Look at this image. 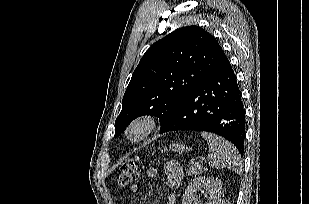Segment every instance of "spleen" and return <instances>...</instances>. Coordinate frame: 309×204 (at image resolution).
Wrapping results in <instances>:
<instances>
[{
	"instance_id": "obj_1",
	"label": "spleen",
	"mask_w": 309,
	"mask_h": 204,
	"mask_svg": "<svg viewBox=\"0 0 309 204\" xmlns=\"http://www.w3.org/2000/svg\"><path fill=\"white\" fill-rule=\"evenodd\" d=\"M201 135L209 145L208 162L210 167L215 169L231 168L237 173H241V157L231 143L208 132H202Z\"/></svg>"
}]
</instances>
